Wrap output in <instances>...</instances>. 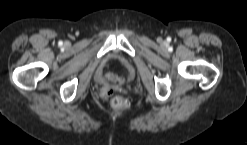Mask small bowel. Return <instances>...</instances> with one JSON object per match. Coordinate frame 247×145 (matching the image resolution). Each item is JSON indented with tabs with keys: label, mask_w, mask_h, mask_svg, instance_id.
Here are the masks:
<instances>
[{
	"label": "small bowel",
	"mask_w": 247,
	"mask_h": 145,
	"mask_svg": "<svg viewBox=\"0 0 247 145\" xmlns=\"http://www.w3.org/2000/svg\"><path fill=\"white\" fill-rule=\"evenodd\" d=\"M127 76H128L127 73H123L120 75H117L114 73H107L106 75L100 76V77H105V78L117 83L118 85H123L125 83Z\"/></svg>",
	"instance_id": "c3829d8e"
}]
</instances>
